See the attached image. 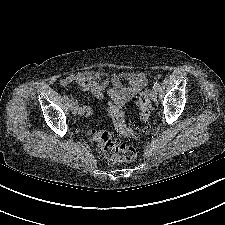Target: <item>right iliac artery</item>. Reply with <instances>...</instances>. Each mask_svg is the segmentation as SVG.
<instances>
[{
	"instance_id": "1",
	"label": "right iliac artery",
	"mask_w": 225,
	"mask_h": 225,
	"mask_svg": "<svg viewBox=\"0 0 225 225\" xmlns=\"http://www.w3.org/2000/svg\"><path fill=\"white\" fill-rule=\"evenodd\" d=\"M73 102H74V100H73V99H71V100H70V107H71V104H72Z\"/></svg>"
}]
</instances>
